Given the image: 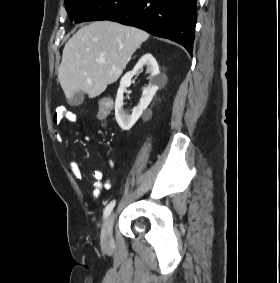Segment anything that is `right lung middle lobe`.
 <instances>
[{"instance_id":"obj_1","label":"right lung middle lobe","mask_w":280,"mask_h":283,"mask_svg":"<svg viewBox=\"0 0 280 283\" xmlns=\"http://www.w3.org/2000/svg\"><path fill=\"white\" fill-rule=\"evenodd\" d=\"M132 0H65V8L71 21L104 20Z\"/></svg>"}]
</instances>
